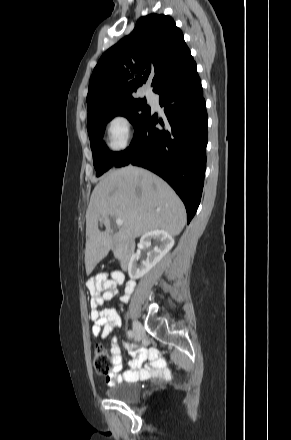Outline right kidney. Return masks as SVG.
Segmentation results:
<instances>
[{
	"label": "right kidney",
	"instance_id": "ca27d5eb",
	"mask_svg": "<svg viewBox=\"0 0 291 440\" xmlns=\"http://www.w3.org/2000/svg\"><path fill=\"white\" fill-rule=\"evenodd\" d=\"M151 240L158 243L147 253L146 260L139 261L140 255L134 254L128 265V274L131 279H139L148 273L173 247V237L164 230H153L144 234L140 243L145 246L151 245Z\"/></svg>",
	"mask_w": 291,
	"mask_h": 440
}]
</instances>
